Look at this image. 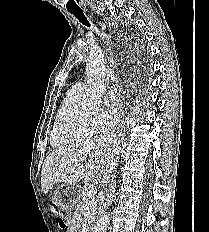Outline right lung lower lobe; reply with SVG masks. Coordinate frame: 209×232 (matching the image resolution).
<instances>
[{
    "label": "right lung lower lobe",
    "mask_w": 209,
    "mask_h": 232,
    "mask_svg": "<svg viewBox=\"0 0 209 232\" xmlns=\"http://www.w3.org/2000/svg\"><path fill=\"white\" fill-rule=\"evenodd\" d=\"M143 49V48H142ZM145 51L141 50V58L139 59V61H137L135 64H134V74L136 76H141L140 78H142V76H144V73H145V60H146V56H145Z\"/></svg>",
    "instance_id": "98d812e1"
}]
</instances>
